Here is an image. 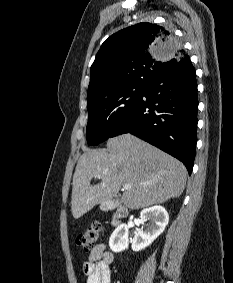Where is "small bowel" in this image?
I'll use <instances>...</instances> for the list:
<instances>
[{"label":"small bowel","instance_id":"1","mask_svg":"<svg viewBox=\"0 0 233 283\" xmlns=\"http://www.w3.org/2000/svg\"><path fill=\"white\" fill-rule=\"evenodd\" d=\"M113 254L107 250L105 243L94 246L83 264V272L87 276V283H110V265Z\"/></svg>","mask_w":233,"mask_h":283}]
</instances>
